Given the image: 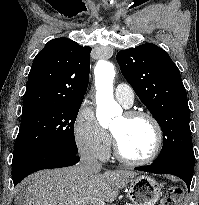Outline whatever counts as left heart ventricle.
Listing matches in <instances>:
<instances>
[{
  "label": "left heart ventricle",
  "instance_id": "left-heart-ventricle-1",
  "mask_svg": "<svg viewBox=\"0 0 199 205\" xmlns=\"http://www.w3.org/2000/svg\"><path fill=\"white\" fill-rule=\"evenodd\" d=\"M122 152L130 158L149 155L154 145V131L145 118H126L124 114L111 124Z\"/></svg>",
  "mask_w": 199,
  "mask_h": 205
}]
</instances>
